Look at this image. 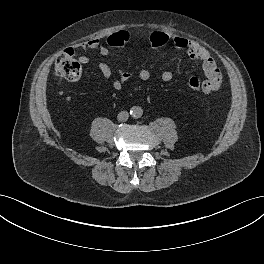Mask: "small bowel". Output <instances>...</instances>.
Wrapping results in <instances>:
<instances>
[{
  "mask_svg": "<svg viewBox=\"0 0 264 264\" xmlns=\"http://www.w3.org/2000/svg\"><path fill=\"white\" fill-rule=\"evenodd\" d=\"M170 42L176 49L184 50L190 59L199 61L201 63L203 73L206 77L204 82L207 84V88L204 93L209 94L217 90L221 86V72L218 69L211 54L204 47H202L194 40L179 35L170 36ZM76 48L84 51L98 50L103 57H108L110 55L109 47L107 46V44H103L99 38H92L85 42L79 43L76 45ZM70 50L73 52V54L75 53L74 50ZM79 61L81 64L85 65L89 62V58L86 55H80ZM98 67L103 77H111L112 69L107 63L101 62ZM151 77L152 72L146 68L134 72L120 70L118 71V77L113 81L112 86L115 90H120L127 82H129L133 78L147 81ZM160 77L164 82H169L173 78V73L171 71L165 70L161 73Z\"/></svg>",
  "mask_w": 264,
  "mask_h": 264,
  "instance_id": "obj_1",
  "label": "small bowel"
}]
</instances>
